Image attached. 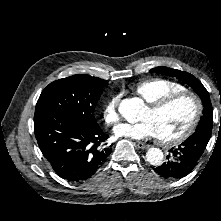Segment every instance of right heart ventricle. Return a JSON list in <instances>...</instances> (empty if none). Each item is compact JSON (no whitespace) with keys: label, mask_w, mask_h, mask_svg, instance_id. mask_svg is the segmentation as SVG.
<instances>
[{"label":"right heart ventricle","mask_w":221,"mask_h":221,"mask_svg":"<svg viewBox=\"0 0 221 221\" xmlns=\"http://www.w3.org/2000/svg\"><path fill=\"white\" fill-rule=\"evenodd\" d=\"M185 90L181 84L165 78L144 80L134 87L135 93L147 103H152L165 95Z\"/></svg>","instance_id":"1"}]
</instances>
